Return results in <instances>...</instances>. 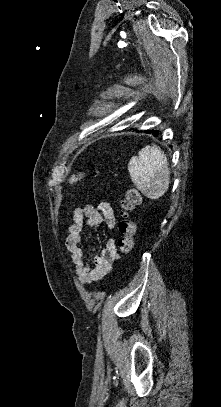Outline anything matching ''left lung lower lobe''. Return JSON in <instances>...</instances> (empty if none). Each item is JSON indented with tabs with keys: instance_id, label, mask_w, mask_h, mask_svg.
<instances>
[{
	"instance_id": "obj_1",
	"label": "left lung lower lobe",
	"mask_w": 221,
	"mask_h": 407,
	"mask_svg": "<svg viewBox=\"0 0 221 407\" xmlns=\"http://www.w3.org/2000/svg\"><path fill=\"white\" fill-rule=\"evenodd\" d=\"M148 133H151V131H148ZM152 133H154V135H158L159 131L158 130H152Z\"/></svg>"
}]
</instances>
